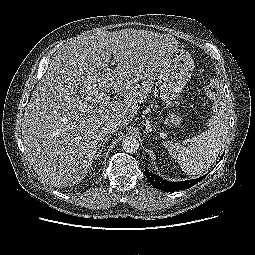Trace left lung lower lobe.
Instances as JSON below:
<instances>
[{
  "label": "left lung lower lobe",
  "mask_w": 255,
  "mask_h": 255,
  "mask_svg": "<svg viewBox=\"0 0 255 255\" xmlns=\"http://www.w3.org/2000/svg\"><path fill=\"white\" fill-rule=\"evenodd\" d=\"M223 155H222L221 159L223 158ZM145 173H146L147 180L151 183V185L153 187H155L159 190H162V191H166V192L188 189V188L194 186L196 183H198L205 177V175H204L200 178L193 179V180L180 181V182H169V181H166V180L160 178L157 175H154V174L148 172V170H146V169H145Z\"/></svg>",
  "instance_id": "1"
}]
</instances>
